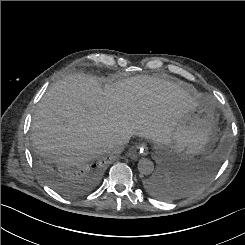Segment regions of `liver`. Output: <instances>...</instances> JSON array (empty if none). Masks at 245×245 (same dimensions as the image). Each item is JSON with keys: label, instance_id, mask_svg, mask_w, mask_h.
<instances>
[{"label": "liver", "instance_id": "liver-1", "mask_svg": "<svg viewBox=\"0 0 245 245\" xmlns=\"http://www.w3.org/2000/svg\"><path fill=\"white\" fill-rule=\"evenodd\" d=\"M200 96L151 76H135L101 87L72 74L44 94L32 121L35 149L48 161L77 166L110 152L107 145L137 135L165 145L177 122Z\"/></svg>", "mask_w": 245, "mask_h": 245}]
</instances>
